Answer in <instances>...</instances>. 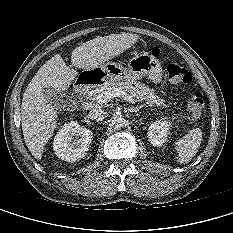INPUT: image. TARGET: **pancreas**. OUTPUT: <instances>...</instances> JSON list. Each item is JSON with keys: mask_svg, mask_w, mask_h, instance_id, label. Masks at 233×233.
I'll return each mask as SVG.
<instances>
[{"mask_svg": "<svg viewBox=\"0 0 233 233\" xmlns=\"http://www.w3.org/2000/svg\"><path fill=\"white\" fill-rule=\"evenodd\" d=\"M115 88L130 93V95L137 98L138 101L142 102L144 100H147V104L149 106L163 105L164 107H167V105L164 104V100L156 95L153 89H150L147 85L135 80H127L121 82L107 81L104 84L99 85L97 88L88 91L86 94L90 100L96 102V98L98 95Z\"/></svg>", "mask_w": 233, "mask_h": 233, "instance_id": "obj_1", "label": "pancreas"}]
</instances>
